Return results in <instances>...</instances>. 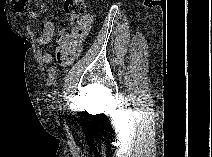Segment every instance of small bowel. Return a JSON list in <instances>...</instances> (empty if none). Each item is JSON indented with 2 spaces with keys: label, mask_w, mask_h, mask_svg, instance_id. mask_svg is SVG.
Wrapping results in <instances>:
<instances>
[{
  "label": "small bowel",
  "mask_w": 212,
  "mask_h": 157,
  "mask_svg": "<svg viewBox=\"0 0 212 157\" xmlns=\"http://www.w3.org/2000/svg\"><path fill=\"white\" fill-rule=\"evenodd\" d=\"M28 0H14V11L17 14L26 12ZM31 18H37L35 12H29ZM92 26V17L86 15L82 18L81 23L71 31H60L57 37L55 57L58 63L63 67L70 66L73 61L79 56L82 43ZM41 35L36 42L40 46L48 45L55 33L54 24L50 21L44 20L40 24ZM77 32L78 36L70 37V33ZM64 37V39H62ZM41 62L48 66L47 80L50 84H56L58 79L57 69L54 65V57L50 53H42Z\"/></svg>",
  "instance_id": "obj_1"
}]
</instances>
